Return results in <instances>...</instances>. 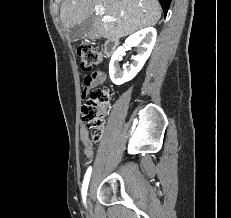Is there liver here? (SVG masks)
Instances as JSON below:
<instances>
[{
    "label": "liver",
    "instance_id": "obj_1",
    "mask_svg": "<svg viewBox=\"0 0 231 218\" xmlns=\"http://www.w3.org/2000/svg\"><path fill=\"white\" fill-rule=\"evenodd\" d=\"M95 5H102L104 14L93 18V29L106 39H119L154 26L161 17L158 0H63L60 18L64 29L67 31L92 15ZM106 16L117 21H109Z\"/></svg>",
    "mask_w": 231,
    "mask_h": 218
}]
</instances>
